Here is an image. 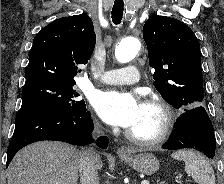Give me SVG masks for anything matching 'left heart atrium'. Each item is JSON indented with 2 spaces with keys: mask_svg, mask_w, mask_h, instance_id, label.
Instances as JSON below:
<instances>
[{
  "mask_svg": "<svg viewBox=\"0 0 224 184\" xmlns=\"http://www.w3.org/2000/svg\"><path fill=\"white\" fill-rule=\"evenodd\" d=\"M93 105L106 123L123 128L136 123L142 106L133 94L116 91L98 93Z\"/></svg>",
  "mask_w": 224,
  "mask_h": 184,
  "instance_id": "1",
  "label": "left heart atrium"
}]
</instances>
